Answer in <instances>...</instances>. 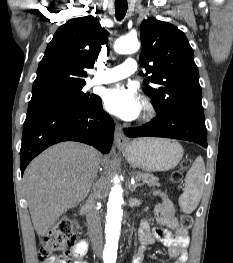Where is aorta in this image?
Returning a JSON list of instances; mask_svg holds the SVG:
<instances>
[{"instance_id":"762f6f07","label":"aorta","mask_w":233,"mask_h":263,"mask_svg":"<svg viewBox=\"0 0 233 263\" xmlns=\"http://www.w3.org/2000/svg\"><path fill=\"white\" fill-rule=\"evenodd\" d=\"M140 43L137 38L124 36L116 40L114 50L119 54L134 53L139 50ZM107 216H106V244L104 257L114 260L117 256L118 241L120 236L121 218L123 214V190L117 183L107 188Z\"/></svg>"}]
</instances>
